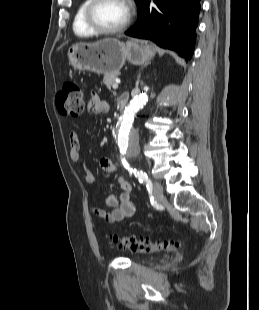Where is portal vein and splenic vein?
Returning <instances> with one entry per match:
<instances>
[{"label":"portal vein and splenic vein","mask_w":259,"mask_h":310,"mask_svg":"<svg viewBox=\"0 0 259 310\" xmlns=\"http://www.w3.org/2000/svg\"><path fill=\"white\" fill-rule=\"evenodd\" d=\"M112 87H113V89H117V88H118V82H117V83H114V84L112 85Z\"/></svg>","instance_id":"obj_1"}]
</instances>
